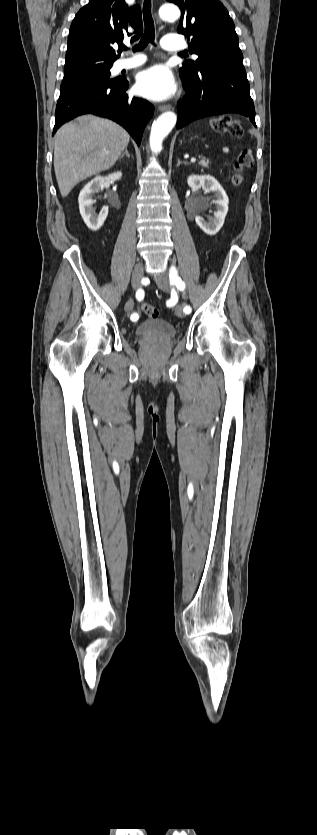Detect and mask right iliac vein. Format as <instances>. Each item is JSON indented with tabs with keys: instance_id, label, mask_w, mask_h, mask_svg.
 I'll return each mask as SVG.
<instances>
[{
	"instance_id": "obj_1",
	"label": "right iliac vein",
	"mask_w": 317,
	"mask_h": 835,
	"mask_svg": "<svg viewBox=\"0 0 317 835\" xmlns=\"http://www.w3.org/2000/svg\"><path fill=\"white\" fill-rule=\"evenodd\" d=\"M143 273H144L143 264H142V263H138V264L135 266V268H134V270H133V274H132V287H133V289H134V290H137V289H139V288H140V286H141V280H142V278H143ZM132 301H133V300H132V299H130V300H129L126 304H125V308H124V309H125V311H126V312H130V310L132 309V306H131L130 308H128V307H127V304H128L129 302L131 303Z\"/></svg>"
}]
</instances>
